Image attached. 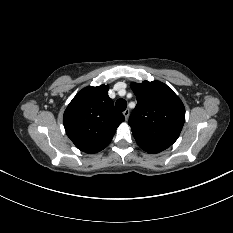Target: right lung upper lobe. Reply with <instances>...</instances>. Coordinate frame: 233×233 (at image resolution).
<instances>
[{"label": "right lung upper lobe", "instance_id": "cb5924a9", "mask_svg": "<svg viewBox=\"0 0 233 233\" xmlns=\"http://www.w3.org/2000/svg\"><path fill=\"white\" fill-rule=\"evenodd\" d=\"M108 85L86 87L72 99L63 116L66 133L88 154L106 148L125 118L108 96Z\"/></svg>", "mask_w": 233, "mask_h": 233}]
</instances>
